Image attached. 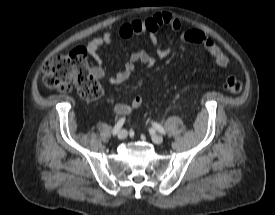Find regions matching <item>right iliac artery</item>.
Segmentation results:
<instances>
[{
	"instance_id": "obj_1",
	"label": "right iliac artery",
	"mask_w": 275,
	"mask_h": 215,
	"mask_svg": "<svg viewBox=\"0 0 275 215\" xmlns=\"http://www.w3.org/2000/svg\"><path fill=\"white\" fill-rule=\"evenodd\" d=\"M124 122H125V118H121V119L117 122V124L114 126L113 131H112V134H113V135H116V134L119 132V130L122 128Z\"/></svg>"
}]
</instances>
